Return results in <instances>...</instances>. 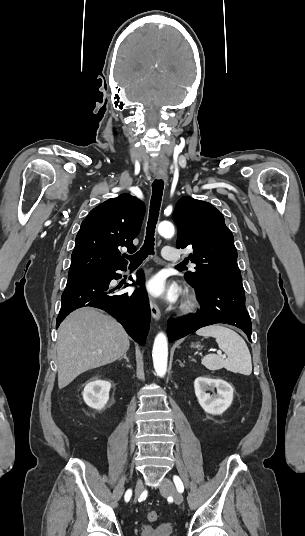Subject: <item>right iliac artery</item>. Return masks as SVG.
I'll return each instance as SVG.
<instances>
[{"label":"right iliac artery","instance_id":"82829eb1","mask_svg":"<svg viewBox=\"0 0 305 536\" xmlns=\"http://www.w3.org/2000/svg\"><path fill=\"white\" fill-rule=\"evenodd\" d=\"M131 495H132V491H131L130 489L127 490V492H126V494H125V500H126V501H129Z\"/></svg>","mask_w":305,"mask_h":536}]
</instances>
